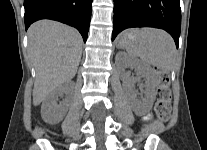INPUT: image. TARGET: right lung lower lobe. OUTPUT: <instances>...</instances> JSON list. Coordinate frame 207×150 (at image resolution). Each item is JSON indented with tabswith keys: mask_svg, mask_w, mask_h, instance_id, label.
Returning <instances> with one entry per match:
<instances>
[{
	"mask_svg": "<svg viewBox=\"0 0 207 150\" xmlns=\"http://www.w3.org/2000/svg\"><path fill=\"white\" fill-rule=\"evenodd\" d=\"M92 0H24L25 28L40 19H52L75 27L87 40Z\"/></svg>",
	"mask_w": 207,
	"mask_h": 150,
	"instance_id": "right-lung-lower-lobe-1",
	"label": "right lung lower lobe"
}]
</instances>
